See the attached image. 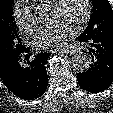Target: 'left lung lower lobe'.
Returning <instances> with one entry per match:
<instances>
[{"instance_id": "left-lung-lower-lobe-1", "label": "left lung lower lobe", "mask_w": 113, "mask_h": 113, "mask_svg": "<svg viewBox=\"0 0 113 113\" xmlns=\"http://www.w3.org/2000/svg\"><path fill=\"white\" fill-rule=\"evenodd\" d=\"M78 40L92 59L90 68L77 74L79 86L91 93L104 91L113 83V34L97 33L89 36L82 33Z\"/></svg>"}]
</instances>
